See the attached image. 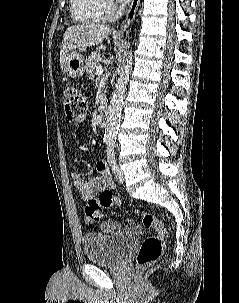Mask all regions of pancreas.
Segmentation results:
<instances>
[{"label":"pancreas","instance_id":"obj_1","mask_svg":"<svg viewBox=\"0 0 239 303\" xmlns=\"http://www.w3.org/2000/svg\"><path fill=\"white\" fill-rule=\"evenodd\" d=\"M101 62V54L99 51L93 52L87 59H86V72L92 77H95L97 74V67L100 66Z\"/></svg>","mask_w":239,"mask_h":303}]
</instances>
